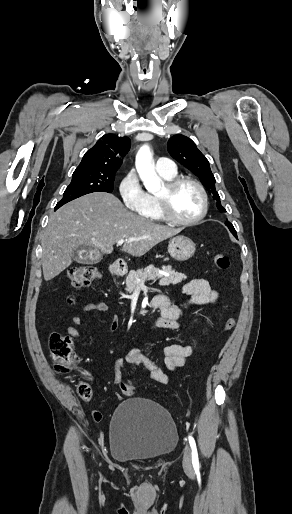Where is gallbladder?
<instances>
[{
	"label": "gallbladder",
	"mask_w": 292,
	"mask_h": 514,
	"mask_svg": "<svg viewBox=\"0 0 292 514\" xmlns=\"http://www.w3.org/2000/svg\"><path fill=\"white\" fill-rule=\"evenodd\" d=\"M90 252L91 250L88 246H78V248L73 250L72 258L75 262H78V264H93V260L90 258Z\"/></svg>",
	"instance_id": "bac80fb5"
}]
</instances>
